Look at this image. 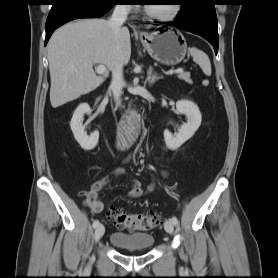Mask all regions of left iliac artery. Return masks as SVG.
I'll return each mask as SVG.
<instances>
[{
	"label": "left iliac artery",
	"mask_w": 278,
	"mask_h": 278,
	"mask_svg": "<svg viewBox=\"0 0 278 278\" xmlns=\"http://www.w3.org/2000/svg\"><path fill=\"white\" fill-rule=\"evenodd\" d=\"M171 221L173 222L174 225L178 224V219L175 216L172 217Z\"/></svg>",
	"instance_id": "44dca946"
}]
</instances>
